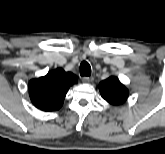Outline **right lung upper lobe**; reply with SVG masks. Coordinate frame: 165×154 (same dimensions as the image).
I'll return each instance as SVG.
<instances>
[{
    "mask_svg": "<svg viewBox=\"0 0 165 154\" xmlns=\"http://www.w3.org/2000/svg\"><path fill=\"white\" fill-rule=\"evenodd\" d=\"M75 83L77 78L74 74L57 68L43 77L30 80L31 101L43 111L58 110L63 104L68 88Z\"/></svg>",
    "mask_w": 165,
    "mask_h": 154,
    "instance_id": "obj_1",
    "label": "right lung upper lobe"
}]
</instances>
